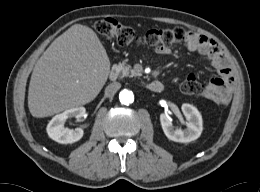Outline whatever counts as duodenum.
Instances as JSON below:
<instances>
[{
    "label": "duodenum",
    "mask_w": 260,
    "mask_h": 192,
    "mask_svg": "<svg viewBox=\"0 0 260 192\" xmlns=\"http://www.w3.org/2000/svg\"><path fill=\"white\" fill-rule=\"evenodd\" d=\"M117 75H118L117 71H116L115 69H112V70L110 71V73H109V78H110V80H112V81L116 80ZM147 88H148L150 91H152V92L158 93V92H161V91L163 90L164 86H163V84H162L160 81L154 80V81H151V82L147 85Z\"/></svg>",
    "instance_id": "410a0bca"
}]
</instances>
